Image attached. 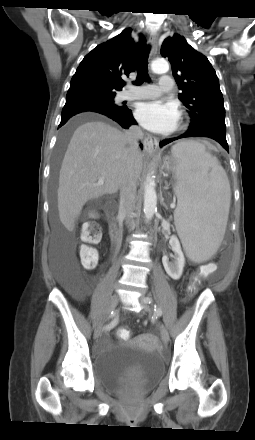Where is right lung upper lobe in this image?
I'll return each mask as SVG.
<instances>
[{"label": "right lung upper lobe", "mask_w": 255, "mask_h": 440, "mask_svg": "<svg viewBox=\"0 0 255 440\" xmlns=\"http://www.w3.org/2000/svg\"><path fill=\"white\" fill-rule=\"evenodd\" d=\"M144 44L145 38L142 35L136 43L131 37V29H125L96 46L84 57L73 75L66 101L121 91V76H128L135 71V60Z\"/></svg>", "instance_id": "right-lung-upper-lobe-1"}]
</instances>
